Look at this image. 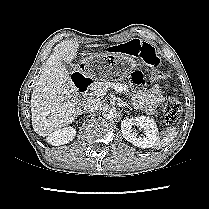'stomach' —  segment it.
Masks as SVG:
<instances>
[{
	"instance_id": "0dacf381",
	"label": "stomach",
	"mask_w": 209,
	"mask_h": 209,
	"mask_svg": "<svg viewBox=\"0 0 209 209\" xmlns=\"http://www.w3.org/2000/svg\"><path fill=\"white\" fill-rule=\"evenodd\" d=\"M136 66L134 58L113 53L89 57L84 61L83 70L89 80L106 83L123 79Z\"/></svg>"
}]
</instances>
